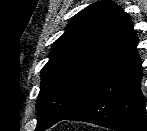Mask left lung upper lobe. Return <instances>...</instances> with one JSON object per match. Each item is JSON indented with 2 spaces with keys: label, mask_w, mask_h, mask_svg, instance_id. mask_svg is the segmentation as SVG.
Segmentation results:
<instances>
[{
  "label": "left lung upper lobe",
  "mask_w": 147,
  "mask_h": 131,
  "mask_svg": "<svg viewBox=\"0 0 147 131\" xmlns=\"http://www.w3.org/2000/svg\"><path fill=\"white\" fill-rule=\"evenodd\" d=\"M41 70L36 108L37 131H44L78 110L98 85L136 53L130 17L109 1L75 15Z\"/></svg>",
  "instance_id": "left-lung-upper-lobe-1"
}]
</instances>
